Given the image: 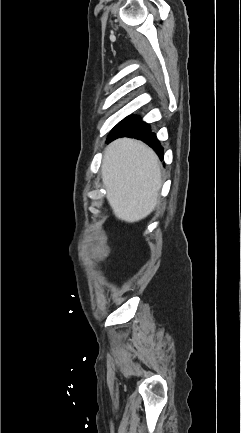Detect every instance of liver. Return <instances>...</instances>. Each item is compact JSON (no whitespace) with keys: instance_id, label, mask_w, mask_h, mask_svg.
I'll use <instances>...</instances> for the list:
<instances>
[{"instance_id":"obj_1","label":"liver","mask_w":241,"mask_h":433,"mask_svg":"<svg viewBox=\"0 0 241 433\" xmlns=\"http://www.w3.org/2000/svg\"><path fill=\"white\" fill-rule=\"evenodd\" d=\"M101 172L118 219L133 223L154 210L162 184L161 163L147 145L135 139L115 140L105 149Z\"/></svg>"}]
</instances>
